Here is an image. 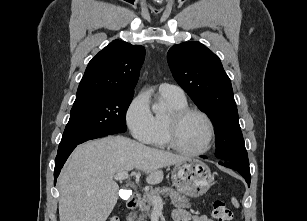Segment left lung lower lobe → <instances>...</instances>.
Wrapping results in <instances>:
<instances>
[{
	"label": "left lung lower lobe",
	"mask_w": 307,
	"mask_h": 221,
	"mask_svg": "<svg viewBox=\"0 0 307 221\" xmlns=\"http://www.w3.org/2000/svg\"><path fill=\"white\" fill-rule=\"evenodd\" d=\"M219 164L238 171L245 178L246 182L248 183V186H250L251 175L249 167H245L243 165L230 161L219 162Z\"/></svg>",
	"instance_id": "left-lung-lower-lobe-1"
}]
</instances>
